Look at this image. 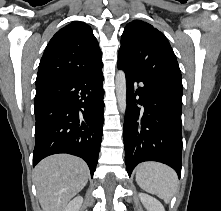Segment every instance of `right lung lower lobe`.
<instances>
[{"mask_svg":"<svg viewBox=\"0 0 221 211\" xmlns=\"http://www.w3.org/2000/svg\"><path fill=\"white\" fill-rule=\"evenodd\" d=\"M102 68L36 89L33 166L43 158L68 153L96 170L102 140Z\"/></svg>","mask_w":221,"mask_h":211,"instance_id":"obj_1","label":"right lung lower lobe"}]
</instances>
